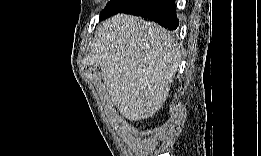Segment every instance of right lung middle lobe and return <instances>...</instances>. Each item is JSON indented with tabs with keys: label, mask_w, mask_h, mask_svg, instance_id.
Here are the masks:
<instances>
[{
	"label": "right lung middle lobe",
	"mask_w": 261,
	"mask_h": 156,
	"mask_svg": "<svg viewBox=\"0 0 261 156\" xmlns=\"http://www.w3.org/2000/svg\"><path fill=\"white\" fill-rule=\"evenodd\" d=\"M132 0H110L104 11L101 13L100 20H103L124 9Z\"/></svg>",
	"instance_id": "obj_1"
}]
</instances>
